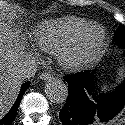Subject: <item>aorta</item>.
Masks as SVG:
<instances>
[{
  "label": "aorta",
  "mask_w": 125,
  "mask_h": 125,
  "mask_svg": "<svg viewBox=\"0 0 125 125\" xmlns=\"http://www.w3.org/2000/svg\"><path fill=\"white\" fill-rule=\"evenodd\" d=\"M45 94L53 103H63L68 97V87L60 79H49L45 85Z\"/></svg>",
  "instance_id": "obj_1"
}]
</instances>
